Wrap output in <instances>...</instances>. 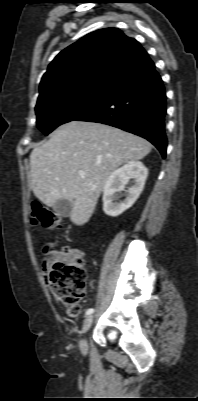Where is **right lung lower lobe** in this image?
Instances as JSON below:
<instances>
[{"label": "right lung lower lobe", "mask_w": 198, "mask_h": 401, "mask_svg": "<svg viewBox=\"0 0 198 401\" xmlns=\"http://www.w3.org/2000/svg\"><path fill=\"white\" fill-rule=\"evenodd\" d=\"M166 95L154 63L141 64L110 83L102 98L74 120L107 124L141 136L166 156Z\"/></svg>", "instance_id": "right-lung-lower-lobe-1"}]
</instances>
